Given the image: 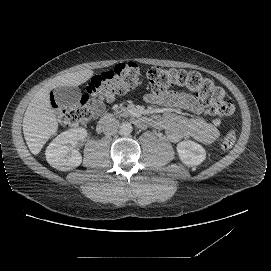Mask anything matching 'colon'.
<instances>
[{"mask_svg":"<svg viewBox=\"0 0 271 271\" xmlns=\"http://www.w3.org/2000/svg\"><path fill=\"white\" fill-rule=\"evenodd\" d=\"M153 94H162L173 87H182L200 96L215 119L231 115L234 105L226 100L225 91L211 79L196 71L152 67L147 72ZM140 81V69L134 62L120 63L111 71L96 74L87 87L86 94L77 105L61 107L52 101L60 121L69 126L86 124L98 113L105 100L134 89ZM236 141V132L229 131L221 142L223 150H229Z\"/></svg>","mask_w":271,"mask_h":271,"instance_id":"5ec220e1","label":"colon"}]
</instances>
